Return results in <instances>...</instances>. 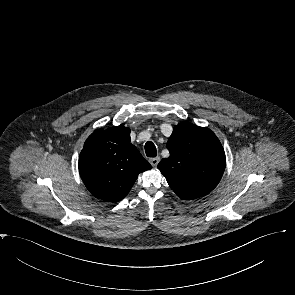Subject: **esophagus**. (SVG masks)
Masks as SVG:
<instances>
[{"mask_svg":"<svg viewBox=\"0 0 295 295\" xmlns=\"http://www.w3.org/2000/svg\"><path fill=\"white\" fill-rule=\"evenodd\" d=\"M159 161H160V157H154V158H151L150 160H149V162H150V164L153 166V167H156L157 165H158V163H159Z\"/></svg>","mask_w":295,"mask_h":295,"instance_id":"obj_1","label":"esophagus"}]
</instances>
